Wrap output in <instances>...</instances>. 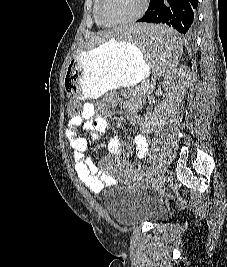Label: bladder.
<instances>
[{
    "label": "bladder",
    "mask_w": 227,
    "mask_h": 267,
    "mask_svg": "<svg viewBox=\"0 0 227 267\" xmlns=\"http://www.w3.org/2000/svg\"><path fill=\"white\" fill-rule=\"evenodd\" d=\"M104 203L111 218L118 224L156 222L165 215L163 208L144 202L138 193L122 187L111 190Z\"/></svg>",
    "instance_id": "31cf9c89"
}]
</instances>
